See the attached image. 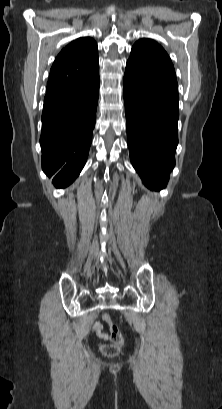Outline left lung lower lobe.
Returning <instances> with one entry per match:
<instances>
[{
	"label": "left lung lower lobe",
	"mask_w": 222,
	"mask_h": 409,
	"mask_svg": "<svg viewBox=\"0 0 222 409\" xmlns=\"http://www.w3.org/2000/svg\"><path fill=\"white\" fill-rule=\"evenodd\" d=\"M130 158L144 184L165 188L178 144V95L125 74L123 80Z\"/></svg>",
	"instance_id": "1"
}]
</instances>
